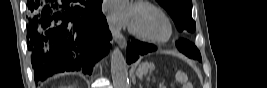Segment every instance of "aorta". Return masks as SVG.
<instances>
[{
	"label": "aorta",
	"instance_id": "obj_1",
	"mask_svg": "<svg viewBox=\"0 0 267 88\" xmlns=\"http://www.w3.org/2000/svg\"><path fill=\"white\" fill-rule=\"evenodd\" d=\"M111 74L114 88H128V68L119 48H115L111 53Z\"/></svg>",
	"mask_w": 267,
	"mask_h": 88
}]
</instances>
